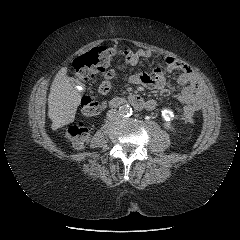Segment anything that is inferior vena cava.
Masks as SVG:
<instances>
[{
  "instance_id": "inferior-vena-cava-1",
  "label": "inferior vena cava",
  "mask_w": 240,
  "mask_h": 240,
  "mask_svg": "<svg viewBox=\"0 0 240 240\" xmlns=\"http://www.w3.org/2000/svg\"><path fill=\"white\" fill-rule=\"evenodd\" d=\"M120 117L119 111L116 109H111L107 112V119L109 121H116Z\"/></svg>"
}]
</instances>
